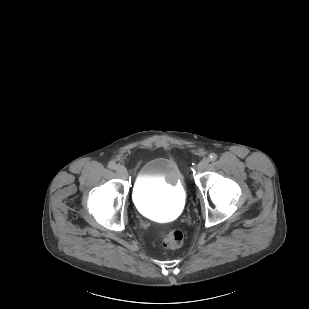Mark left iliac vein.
Instances as JSON below:
<instances>
[{
    "mask_svg": "<svg viewBox=\"0 0 309 309\" xmlns=\"http://www.w3.org/2000/svg\"><path fill=\"white\" fill-rule=\"evenodd\" d=\"M208 164H209V159L203 158L198 164L197 170L199 172L203 171L205 168H207Z\"/></svg>",
    "mask_w": 309,
    "mask_h": 309,
    "instance_id": "1",
    "label": "left iliac vein"
}]
</instances>
